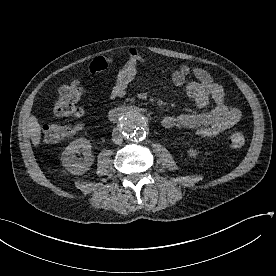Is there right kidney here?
<instances>
[{"instance_id":"ca27d5eb","label":"right kidney","mask_w":276,"mask_h":276,"mask_svg":"<svg viewBox=\"0 0 276 276\" xmlns=\"http://www.w3.org/2000/svg\"><path fill=\"white\" fill-rule=\"evenodd\" d=\"M82 151L83 158H76L75 154ZM94 157L91 153L90 141L79 138L72 141L63 151L61 162L67 171L74 175H81L87 172L92 166Z\"/></svg>"}]
</instances>
